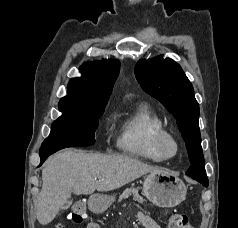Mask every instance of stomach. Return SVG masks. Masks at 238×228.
<instances>
[{"mask_svg": "<svg viewBox=\"0 0 238 228\" xmlns=\"http://www.w3.org/2000/svg\"><path fill=\"white\" fill-rule=\"evenodd\" d=\"M143 194L154 205L171 208L179 205L187 194L184 182L174 173L168 171L150 173L143 183ZM110 195H95L89 199L92 211L103 212L114 202Z\"/></svg>", "mask_w": 238, "mask_h": 228, "instance_id": "0dacf381", "label": "stomach"}]
</instances>
